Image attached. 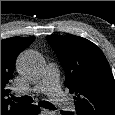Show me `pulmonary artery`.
<instances>
[{
  "label": "pulmonary artery",
  "instance_id": "pulmonary-artery-1",
  "mask_svg": "<svg viewBox=\"0 0 115 115\" xmlns=\"http://www.w3.org/2000/svg\"><path fill=\"white\" fill-rule=\"evenodd\" d=\"M36 93H46L51 100L63 109H70L71 103L62 92L59 85V73L56 65L50 63L44 69L40 81L31 88Z\"/></svg>",
  "mask_w": 115,
  "mask_h": 115
}]
</instances>
